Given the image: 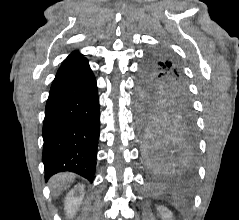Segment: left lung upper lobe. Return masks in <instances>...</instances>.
<instances>
[{
	"label": "left lung upper lobe",
	"mask_w": 239,
	"mask_h": 220,
	"mask_svg": "<svg viewBox=\"0 0 239 220\" xmlns=\"http://www.w3.org/2000/svg\"><path fill=\"white\" fill-rule=\"evenodd\" d=\"M143 126L153 125L166 112H191L180 61L168 50L153 51L142 67Z\"/></svg>",
	"instance_id": "1"
}]
</instances>
